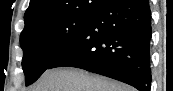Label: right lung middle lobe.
Segmentation results:
<instances>
[{"mask_svg":"<svg viewBox=\"0 0 173 91\" xmlns=\"http://www.w3.org/2000/svg\"><path fill=\"white\" fill-rule=\"evenodd\" d=\"M93 15L94 11H90L46 19L22 31L20 45L26 85L35 82L52 61L81 35Z\"/></svg>","mask_w":173,"mask_h":91,"instance_id":"1","label":"right lung middle lobe"}]
</instances>
